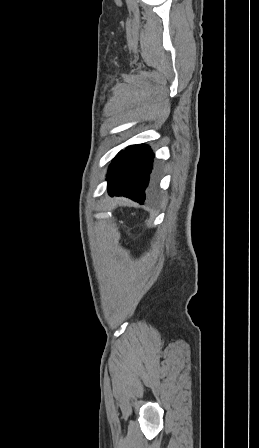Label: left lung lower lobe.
Wrapping results in <instances>:
<instances>
[{"instance_id": "0a47b994", "label": "left lung lower lobe", "mask_w": 259, "mask_h": 448, "mask_svg": "<svg viewBox=\"0 0 259 448\" xmlns=\"http://www.w3.org/2000/svg\"><path fill=\"white\" fill-rule=\"evenodd\" d=\"M153 158L154 153L145 144L131 145L119 152L108 169V194L125 196L143 204Z\"/></svg>"}]
</instances>
